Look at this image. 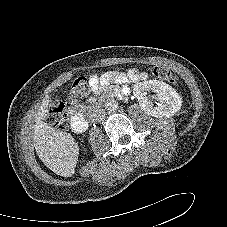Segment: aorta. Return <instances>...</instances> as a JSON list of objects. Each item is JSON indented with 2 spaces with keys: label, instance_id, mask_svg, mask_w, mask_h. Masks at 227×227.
Wrapping results in <instances>:
<instances>
[{
  "label": "aorta",
  "instance_id": "obj_1",
  "mask_svg": "<svg viewBox=\"0 0 227 227\" xmlns=\"http://www.w3.org/2000/svg\"><path fill=\"white\" fill-rule=\"evenodd\" d=\"M105 108L109 112L116 111L118 108V103L116 102V100L110 99L105 103Z\"/></svg>",
  "mask_w": 227,
  "mask_h": 227
}]
</instances>
